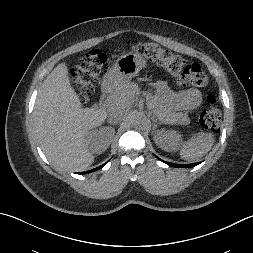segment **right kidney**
<instances>
[{
    "mask_svg": "<svg viewBox=\"0 0 253 253\" xmlns=\"http://www.w3.org/2000/svg\"><path fill=\"white\" fill-rule=\"evenodd\" d=\"M110 128L103 127L99 130H92L87 136V143L90 151L96 154L103 153L110 145L114 136L113 129L110 133L107 131Z\"/></svg>",
    "mask_w": 253,
    "mask_h": 253,
    "instance_id": "obj_1",
    "label": "right kidney"
}]
</instances>
